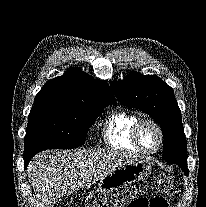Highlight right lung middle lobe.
Listing matches in <instances>:
<instances>
[{
    "label": "right lung middle lobe",
    "instance_id": "obj_1",
    "mask_svg": "<svg viewBox=\"0 0 206 207\" xmlns=\"http://www.w3.org/2000/svg\"><path fill=\"white\" fill-rule=\"evenodd\" d=\"M106 105L81 106L57 102L34 103L28 116L24 155L45 149L76 148Z\"/></svg>",
    "mask_w": 206,
    "mask_h": 207
}]
</instances>
